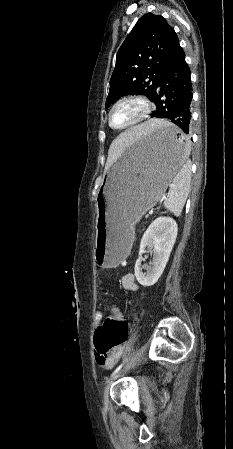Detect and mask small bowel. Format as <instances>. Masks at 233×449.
I'll list each match as a JSON object with an SVG mask.
<instances>
[{"instance_id": "small-bowel-1", "label": "small bowel", "mask_w": 233, "mask_h": 449, "mask_svg": "<svg viewBox=\"0 0 233 449\" xmlns=\"http://www.w3.org/2000/svg\"><path fill=\"white\" fill-rule=\"evenodd\" d=\"M121 284L124 289L132 292H135L139 289L137 283L135 282V277L132 273L124 274L121 278ZM102 319H103L102 313L96 312L95 323L97 325V328H99L102 325ZM123 349L124 347L120 346L107 354L100 355L98 353H95V361L102 368L108 370L112 369L118 362V359Z\"/></svg>"}]
</instances>
